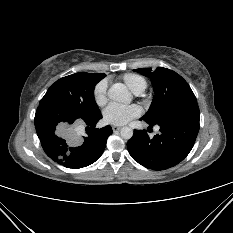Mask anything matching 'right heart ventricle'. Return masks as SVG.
<instances>
[{
	"mask_svg": "<svg viewBox=\"0 0 233 233\" xmlns=\"http://www.w3.org/2000/svg\"><path fill=\"white\" fill-rule=\"evenodd\" d=\"M120 79L132 92L136 94L143 92L147 87L146 79L138 74L126 73L123 74Z\"/></svg>",
	"mask_w": 233,
	"mask_h": 233,
	"instance_id": "1",
	"label": "right heart ventricle"
}]
</instances>
